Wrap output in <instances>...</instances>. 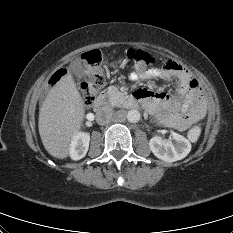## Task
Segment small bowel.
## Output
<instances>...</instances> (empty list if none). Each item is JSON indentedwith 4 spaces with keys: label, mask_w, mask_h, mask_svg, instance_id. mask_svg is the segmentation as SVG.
I'll return each mask as SVG.
<instances>
[{
    "label": "small bowel",
    "mask_w": 233,
    "mask_h": 233,
    "mask_svg": "<svg viewBox=\"0 0 233 233\" xmlns=\"http://www.w3.org/2000/svg\"><path fill=\"white\" fill-rule=\"evenodd\" d=\"M131 78L133 80L153 78L178 80L179 87L174 96L145 88L135 92L136 97L163 125L184 131L204 116L206 103L200 85L178 62L168 60L160 68L138 69L131 74Z\"/></svg>",
    "instance_id": "small-bowel-1"
}]
</instances>
